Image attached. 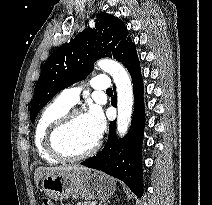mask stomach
Here are the masks:
<instances>
[{
    "label": "stomach",
    "mask_w": 212,
    "mask_h": 205,
    "mask_svg": "<svg viewBox=\"0 0 212 205\" xmlns=\"http://www.w3.org/2000/svg\"><path fill=\"white\" fill-rule=\"evenodd\" d=\"M41 190L56 201L70 197L104 200L114 194L116 182L111 177L98 172L65 171L45 175L41 181Z\"/></svg>",
    "instance_id": "obj_1"
}]
</instances>
